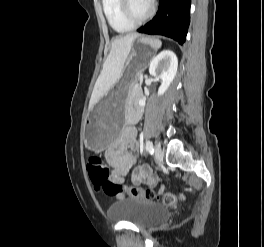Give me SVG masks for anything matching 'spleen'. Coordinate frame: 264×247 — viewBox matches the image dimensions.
<instances>
[{"label":"spleen","instance_id":"3e777b00","mask_svg":"<svg viewBox=\"0 0 264 247\" xmlns=\"http://www.w3.org/2000/svg\"><path fill=\"white\" fill-rule=\"evenodd\" d=\"M147 40L153 48L158 49L161 47L162 43L159 39H147Z\"/></svg>","mask_w":264,"mask_h":247}]
</instances>
